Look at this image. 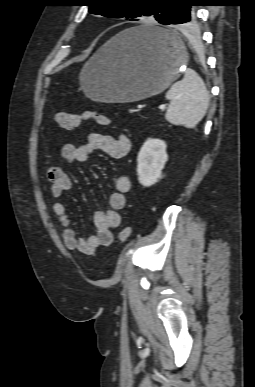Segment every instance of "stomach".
Masks as SVG:
<instances>
[{"instance_id":"1","label":"stomach","mask_w":255,"mask_h":387,"mask_svg":"<svg viewBox=\"0 0 255 387\" xmlns=\"http://www.w3.org/2000/svg\"><path fill=\"white\" fill-rule=\"evenodd\" d=\"M157 30L162 41L140 33ZM187 52L177 35L154 24L126 29L104 44L84 65L80 84L85 94L102 102H134L165 90L180 76Z\"/></svg>"}]
</instances>
